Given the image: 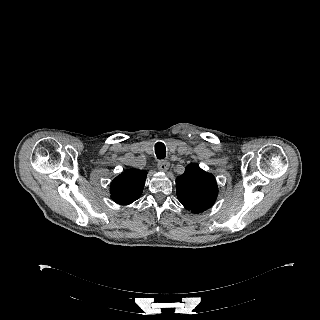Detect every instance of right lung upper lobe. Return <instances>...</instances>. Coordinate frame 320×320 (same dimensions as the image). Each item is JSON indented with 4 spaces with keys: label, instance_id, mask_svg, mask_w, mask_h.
Returning <instances> with one entry per match:
<instances>
[{
    "label": "right lung upper lobe",
    "instance_id": "obj_1",
    "mask_svg": "<svg viewBox=\"0 0 320 320\" xmlns=\"http://www.w3.org/2000/svg\"><path fill=\"white\" fill-rule=\"evenodd\" d=\"M147 172L128 169L118 175L110 186L111 198L120 205H129L140 198Z\"/></svg>",
    "mask_w": 320,
    "mask_h": 320
}]
</instances>
